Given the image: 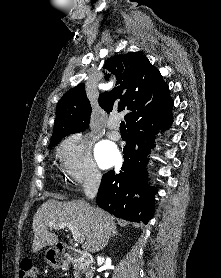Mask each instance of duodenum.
Instances as JSON below:
<instances>
[{
    "mask_svg": "<svg viewBox=\"0 0 221 278\" xmlns=\"http://www.w3.org/2000/svg\"><path fill=\"white\" fill-rule=\"evenodd\" d=\"M57 251L66 264L79 263L81 265H87L90 262V259L82 250L67 244H59L57 246Z\"/></svg>",
    "mask_w": 221,
    "mask_h": 278,
    "instance_id": "duodenum-1",
    "label": "duodenum"
}]
</instances>
